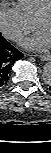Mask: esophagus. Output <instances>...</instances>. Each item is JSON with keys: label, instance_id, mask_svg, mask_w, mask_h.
<instances>
[{"label": "esophagus", "instance_id": "esophagus-1", "mask_svg": "<svg viewBox=\"0 0 51 153\" xmlns=\"http://www.w3.org/2000/svg\"><path fill=\"white\" fill-rule=\"evenodd\" d=\"M40 58L42 61H49L51 59V56L49 54H42L40 55Z\"/></svg>", "mask_w": 51, "mask_h": 153}]
</instances>
